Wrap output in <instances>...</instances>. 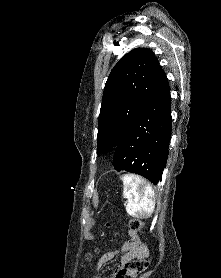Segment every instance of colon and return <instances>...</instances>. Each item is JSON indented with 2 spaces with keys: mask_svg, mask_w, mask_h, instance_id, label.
Wrapping results in <instances>:
<instances>
[{
  "mask_svg": "<svg viewBox=\"0 0 221 278\" xmlns=\"http://www.w3.org/2000/svg\"><path fill=\"white\" fill-rule=\"evenodd\" d=\"M109 227L110 225L107 224ZM143 227V223L140 220L133 219L129 221V228L132 231H137ZM87 258H90V254H87ZM150 265V258L148 252H143L137 258L128 261L124 267L116 274L117 278H133L144 272Z\"/></svg>",
  "mask_w": 221,
  "mask_h": 278,
  "instance_id": "obj_1",
  "label": "colon"
}]
</instances>
